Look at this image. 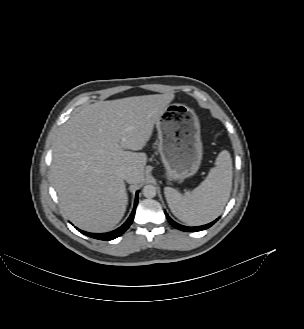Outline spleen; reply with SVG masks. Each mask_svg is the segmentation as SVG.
<instances>
[{"instance_id": "1", "label": "spleen", "mask_w": 304, "mask_h": 329, "mask_svg": "<svg viewBox=\"0 0 304 329\" xmlns=\"http://www.w3.org/2000/svg\"><path fill=\"white\" fill-rule=\"evenodd\" d=\"M232 174L230 153L223 150L216 158L215 167L190 194L182 195L171 187H165L164 193L171 212L191 226L213 221L222 213L230 197Z\"/></svg>"}]
</instances>
